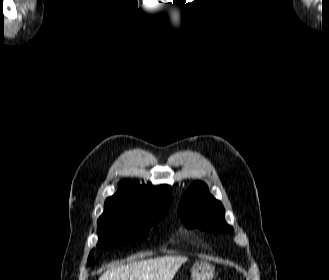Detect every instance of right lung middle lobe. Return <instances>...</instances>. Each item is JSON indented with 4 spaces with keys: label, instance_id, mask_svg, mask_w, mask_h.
I'll list each match as a JSON object with an SVG mask.
<instances>
[{
    "label": "right lung middle lobe",
    "instance_id": "right-lung-middle-lobe-1",
    "mask_svg": "<svg viewBox=\"0 0 329 280\" xmlns=\"http://www.w3.org/2000/svg\"><path fill=\"white\" fill-rule=\"evenodd\" d=\"M168 205H158L149 211H143L122 204H105V210L98 219L97 247L114 246L118 244L139 241L153 224L162 219L168 210ZM93 253L88 257V264L93 260Z\"/></svg>",
    "mask_w": 329,
    "mask_h": 280
}]
</instances>
